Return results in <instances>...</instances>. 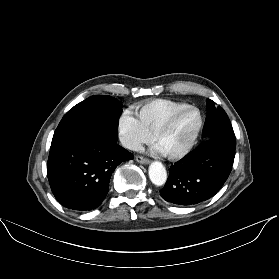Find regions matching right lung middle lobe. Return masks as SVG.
I'll use <instances>...</instances> for the list:
<instances>
[{
    "mask_svg": "<svg viewBox=\"0 0 279 279\" xmlns=\"http://www.w3.org/2000/svg\"><path fill=\"white\" fill-rule=\"evenodd\" d=\"M122 104L107 95H95L75 105L60 121L52 143L71 139L83 132L102 126L118 129Z\"/></svg>",
    "mask_w": 279,
    "mask_h": 279,
    "instance_id": "1",
    "label": "right lung middle lobe"
}]
</instances>
